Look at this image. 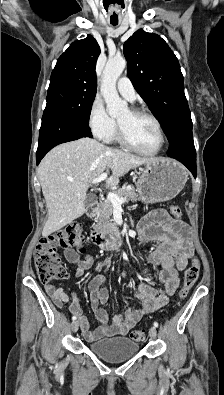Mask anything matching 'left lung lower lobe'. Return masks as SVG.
<instances>
[{
    "label": "left lung lower lobe",
    "instance_id": "left-lung-lower-lobe-1",
    "mask_svg": "<svg viewBox=\"0 0 224 395\" xmlns=\"http://www.w3.org/2000/svg\"><path fill=\"white\" fill-rule=\"evenodd\" d=\"M169 142L168 156L182 162L196 177V151L191 119L180 123L175 135L169 139Z\"/></svg>",
    "mask_w": 224,
    "mask_h": 395
}]
</instances>
